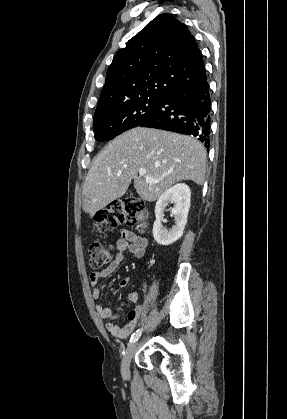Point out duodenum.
Returning <instances> with one entry per match:
<instances>
[{
  "instance_id": "duodenum-1",
  "label": "duodenum",
  "mask_w": 287,
  "mask_h": 419,
  "mask_svg": "<svg viewBox=\"0 0 287 419\" xmlns=\"http://www.w3.org/2000/svg\"><path fill=\"white\" fill-rule=\"evenodd\" d=\"M143 227H144L143 225L140 226V228H143Z\"/></svg>"
}]
</instances>
